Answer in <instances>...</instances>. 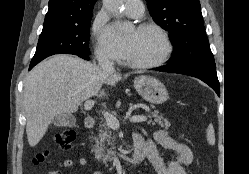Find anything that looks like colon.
Here are the masks:
<instances>
[{
    "instance_id": "1",
    "label": "colon",
    "mask_w": 249,
    "mask_h": 174,
    "mask_svg": "<svg viewBox=\"0 0 249 174\" xmlns=\"http://www.w3.org/2000/svg\"><path fill=\"white\" fill-rule=\"evenodd\" d=\"M74 140H75V132L71 129L63 130L55 136V144L61 150L69 149L72 143L74 142ZM48 159H49V152L46 151V152L38 153L34 157L33 162L36 165H39V164L46 163Z\"/></svg>"
}]
</instances>
